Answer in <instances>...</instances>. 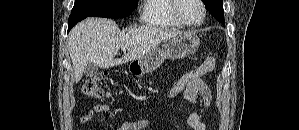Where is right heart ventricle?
Masks as SVG:
<instances>
[{"label":"right heart ventricle","mask_w":299,"mask_h":130,"mask_svg":"<svg viewBox=\"0 0 299 130\" xmlns=\"http://www.w3.org/2000/svg\"><path fill=\"white\" fill-rule=\"evenodd\" d=\"M171 4L172 0L145 1L143 21L152 27L181 28L182 25L173 16Z\"/></svg>","instance_id":"e07e8e85"}]
</instances>
